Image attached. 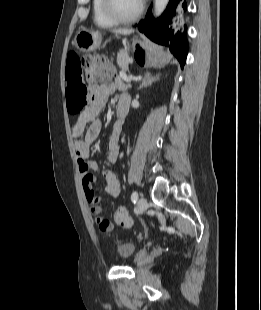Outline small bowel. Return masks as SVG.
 Wrapping results in <instances>:
<instances>
[{"label": "small bowel", "mask_w": 261, "mask_h": 310, "mask_svg": "<svg viewBox=\"0 0 261 310\" xmlns=\"http://www.w3.org/2000/svg\"><path fill=\"white\" fill-rule=\"evenodd\" d=\"M66 101L67 107L71 114L76 118L71 127V133L75 142V152L77 156L78 170L81 176L82 186L88 202L91 204L90 210L95 217V221L100 225L103 221L101 216L102 207L98 205L97 198L94 194L93 183L95 178L92 172L100 169V163L91 160V145L97 139L101 124L98 114L103 108L108 96L121 84L119 82H107L101 85H91L87 87L82 78V68L78 56L75 53H69L66 65ZM90 96V104L83 109L85 99ZM123 121L117 120L113 127L108 140L106 161L114 163L117 160L120 148V133ZM105 182V191L111 197L119 196L121 184L115 173L110 169L102 172ZM113 225L110 221H108Z\"/></svg>", "instance_id": "1"}]
</instances>
